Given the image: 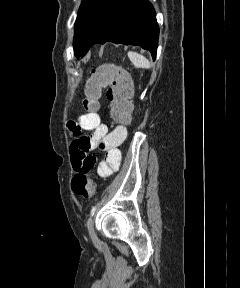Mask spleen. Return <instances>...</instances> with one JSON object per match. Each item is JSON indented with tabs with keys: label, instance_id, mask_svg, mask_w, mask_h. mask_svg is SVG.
I'll return each instance as SVG.
<instances>
[{
	"label": "spleen",
	"instance_id": "1",
	"mask_svg": "<svg viewBox=\"0 0 240 288\" xmlns=\"http://www.w3.org/2000/svg\"><path fill=\"white\" fill-rule=\"evenodd\" d=\"M128 57L136 68H150V62L143 55H140L133 51H129Z\"/></svg>",
	"mask_w": 240,
	"mask_h": 288
}]
</instances>
